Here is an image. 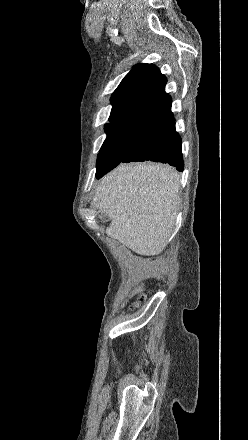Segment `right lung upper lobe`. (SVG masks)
<instances>
[{
    "mask_svg": "<svg viewBox=\"0 0 248 440\" xmlns=\"http://www.w3.org/2000/svg\"><path fill=\"white\" fill-rule=\"evenodd\" d=\"M166 78L152 64H138L125 76L111 97L107 138L122 131H133L150 117L171 106L165 92Z\"/></svg>",
    "mask_w": 248,
    "mask_h": 440,
    "instance_id": "cb5924a9",
    "label": "right lung upper lobe"
}]
</instances>
